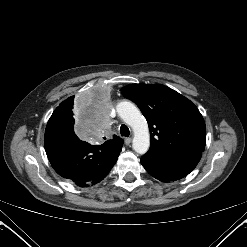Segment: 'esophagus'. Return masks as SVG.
<instances>
[{
	"mask_svg": "<svg viewBox=\"0 0 247 247\" xmlns=\"http://www.w3.org/2000/svg\"><path fill=\"white\" fill-rule=\"evenodd\" d=\"M131 141H132V138H125L124 139V142L126 145H129L131 143Z\"/></svg>",
	"mask_w": 247,
	"mask_h": 247,
	"instance_id": "34e87169",
	"label": "esophagus"
}]
</instances>
